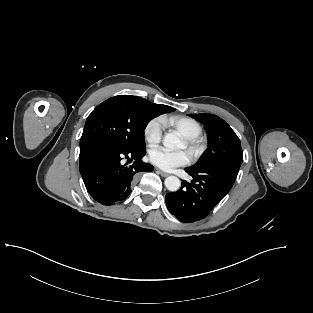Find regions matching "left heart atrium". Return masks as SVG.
I'll return each instance as SVG.
<instances>
[{"mask_svg":"<svg viewBox=\"0 0 313 313\" xmlns=\"http://www.w3.org/2000/svg\"><path fill=\"white\" fill-rule=\"evenodd\" d=\"M150 161L157 167L170 171L178 166H184L190 162V154L187 151H170L163 147L151 149Z\"/></svg>","mask_w":313,"mask_h":313,"instance_id":"obj_1","label":"left heart atrium"}]
</instances>
